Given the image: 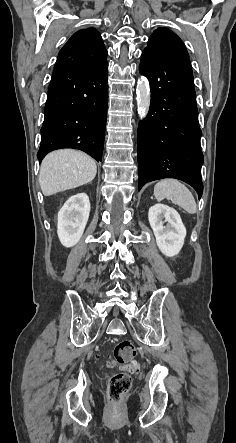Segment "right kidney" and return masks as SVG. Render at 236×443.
<instances>
[{
	"label": "right kidney",
	"instance_id": "obj_1",
	"mask_svg": "<svg viewBox=\"0 0 236 443\" xmlns=\"http://www.w3.org/2000/svg\"><path fill=\"white\" fill-rule=\"evenodd\" d=\"M90 213L89 197L85 193L71 196L58 212L57 234L61 244L72 247L83 235Z\"/></svg>",
	"mask_w": 236,
	"mask_h": 443
}]
</instances>
